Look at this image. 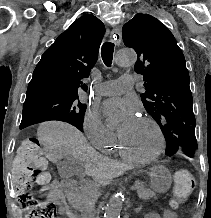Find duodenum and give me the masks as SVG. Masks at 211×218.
Listing matches in <instances>:
<instances>
[{
  "label": "duodenum",
  "instance_id": "duodenum-1",
  "mask_svg": "<svg viewBox=\"0 0 211 218\" xmlns=\"http://www.w3.org/2000/svg\"><path fill=\"white\" fill-rule=\"evenodd\" d=\"M77 186V180L74 178H67L61 182V187L66 193H71Z\"/></svg>",
  "mask_w": 211,
  "mask_h": 218
}]
</instances>
